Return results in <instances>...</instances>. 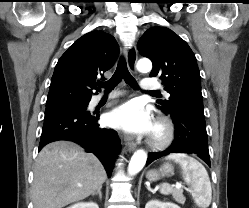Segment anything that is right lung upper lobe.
Segmentation results:
<instances>
[{
	"label": "right lung upper lobe",
	"mask_w": 249,
	"mask_h": 208,
	"mask_svg": "<svg viewBox=\"0 0 249 208\" xmlns=\"http://www.w3.org/2000/svg\"><path fill=\"white\" fill-rule=\"evenodd\" d=\"M119 53L115 38L103 31H91L58 60L50 84L46 107L89 101L97 77L109 70ZM98 90V88H96Z\"/></svg>",
	"instance_id": "cb5924a9"
}]
</instances>
